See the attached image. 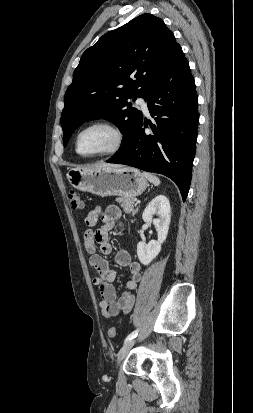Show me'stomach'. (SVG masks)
<instances>
[{
    "mask_svg": "<svg viewBox=\"0 0 253 413\" xmlns=\"http://www.w3.org/2000/svg\"><path fill=\"white\" fill-rule=\"evenodd\" d=\"M67 179L74 188L101 197H135L148 186L140 170L128 166L73 168L68 171Z\"/></svg>",
    "mask_w": 253,
    "mask_h": 413,
    "instance_id": "0dacf381",
    "label": "stomach"
}]
</instances>
